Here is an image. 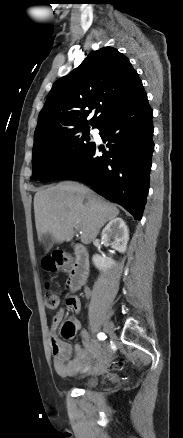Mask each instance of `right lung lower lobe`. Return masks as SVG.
<instances>
[{
  "mask_svg": "<svg viewBox=\"0 0 183 438\" xmlns=\"http://www.w3.org/2000/svg\"><path fill=\"white\" fill-rule=\"evenodd\" d=\"M152 114L146 93L120 107L97 126L102 140L108 142V150L93 143L55 178L76 177L140 220L154 150ZM99 152L103 155L98 156Z\"/></svg>",
  "mask_w": 183,
  "mask_h": 438,
  "instance_id": "obj_1",
  "label": "right lung lower lobe"
}]
</instances>
